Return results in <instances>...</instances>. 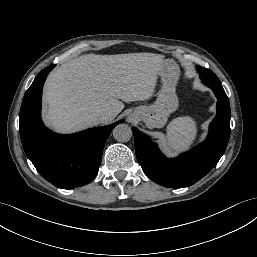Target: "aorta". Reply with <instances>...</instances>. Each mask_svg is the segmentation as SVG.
Returning <instances> with one entry per match:
<instances>
[{"mask_svg": "<svg viewBox=\"0 0 257 257\" xmlns=\"http://www.w3.org/2000/svg\"><path fill=\"white\" fill-rule=\"evenodd\" d=\"M113 136L118 142H127L132 137V130L127 124H119L114 128Z\"/></svg>", "mask_w": 257, "mask_h": 257, "instance_id": "762f6f07", "label": "aorta"}]
</instances>
